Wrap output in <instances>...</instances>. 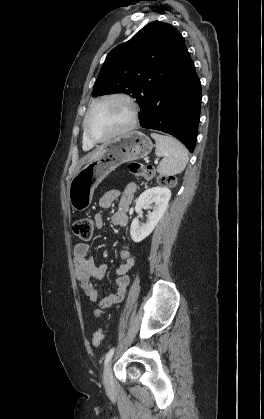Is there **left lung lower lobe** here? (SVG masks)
Listing matches in <instances>:
<instances>
[{
  "mask_svg": "<svg viewBox=\"0 0 264 419\" xmlns=\"http://www.w3.org/2000/svg\"><path fill=\"white\" fill-rule=\"evenodd\" d=\"M200 105L201 83L183 38L174 59L173 70L151 86L139 114L140 125L176 137L193 152Z\"/></svg>",
  "mask_w": 264,
  "mask_h": 419,
  "instance_id": "0a47b994",
  "label": "left lung lower lobe"
}]
</instances>
